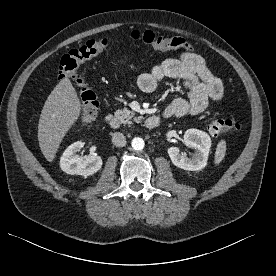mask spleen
I'll return each instance as SVG.
<instances>
[{
	"instance_id": "spleen-1",
	"label": "spleen",
	"mask_w": 276,
	"mask_h": 276,
	"mask_svg": "<svg viewBox=\"0 0 276 276\" xmlns=\"http://www.w3.org/2000/svg\"><path fill=\"white\" fill-rule=\"evenodd\" d=\"M225 153H226V142H225V140H221L218 143L216 151H215V160H214V162H215L216 165H218L222 162V160L225 157Z\"/></svg>"
}]
</instances>
